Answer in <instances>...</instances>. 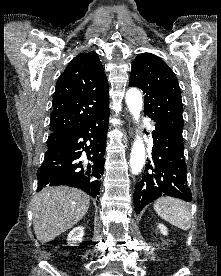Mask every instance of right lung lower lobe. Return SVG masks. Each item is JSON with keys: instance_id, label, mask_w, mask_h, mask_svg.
Wrapping results in <instances>:
<instances>
[{"instance_id": "1", "label": "right lung lower lobe", "mask_w": 221, "mask_h": 276, "mask_svg": "<svg viewBox=\"0 0 221 276\" xmlns=\"http://www.w3.org/2000/svg\"><path fill=\"white\" fill-rule=\"evenodd\" d=\"M109 121V107L65 137L59 145L48 148L38 169V189L46 185L80 188L97 198L104 172V153ZM86 152V158L82 152Z\"/></svg>"}]
</instances>
